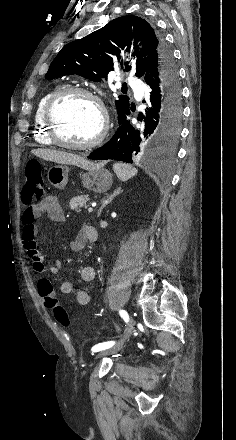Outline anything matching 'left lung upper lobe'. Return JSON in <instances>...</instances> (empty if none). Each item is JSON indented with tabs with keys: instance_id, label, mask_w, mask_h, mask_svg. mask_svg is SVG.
<instances>
[{
	"instance_id": "obj_1",
	"label": "left lung upper lobe",
	"mask_w": 236,
	"mask_h": 440,
	"mask_svg": "<svg viewBox=\"0 0 236 440\" xmlns=\"http://www.w3.org/2000/svg\"><path fill=\"white\" fill-rule=\"evenodd\" d=\"M172 53L164 38L145 19L127 15L110 21L103 28L63 47L52 61L45 78L77 74L99 82L115 68L143 78L149 64ZM132 64V66L130 65ZM118 116L129 108V98L115 101Z\"/></svg>"
}]
</instances>
